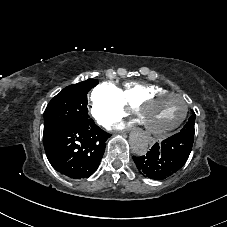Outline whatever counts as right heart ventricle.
<instances>
[{
    "label": "right heart ventricle",
    "mask_w": 227,
    "mask_h": 227,
    "mask_svg": "<svg viewBox=\"0 0 227 227\" xmlns=\"http://www.w3.org/2000/svg\"><path fill=\"white\" fill-rule=\"evenodd\" d=\"M163 90H165V88L157 84L131 81L125 83L123 88L120 89L121 100L127 108L133 109L137 101L145 95Z\"/></svg>",
    "instance_id": "obj_1"
}]
</instances>
